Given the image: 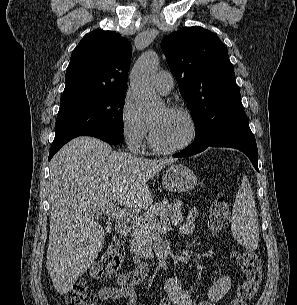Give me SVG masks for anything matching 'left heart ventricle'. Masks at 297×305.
<instances>
[{
    "label": "left heart ventricle",
    "instance_id": "1",
    "mask_svg": "<svg viewBox=\"0 0 297 305\" xmlns=\"http://www.w3.org/2000/svg\"><path fill=\"white\" fill-rule=\"evenodd\" d=\"M156 142L163 147L176 146L186 140L190 133L187 120L163 108L150 119Z\"/></svg>",
    "mask_w": 297,
    "mask_h": 305
}]
</instances>
